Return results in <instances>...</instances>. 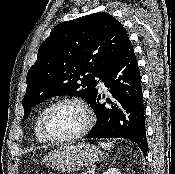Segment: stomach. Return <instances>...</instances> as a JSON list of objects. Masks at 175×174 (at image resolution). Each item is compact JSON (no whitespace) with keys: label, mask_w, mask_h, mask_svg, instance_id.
Wrapping results in <instances>:
<instances>
[{"label":"stomach","mask_w":175,"mask_h":174,"mask_svg":"<svg viewBox=\"0 0 175 174\" xmlns=\"http://www.w3.org/2000/svg\"><path fill=\"white\" fill-rule=\"evenodd\" d=\"M102 157V152L88 143L65 145L50 151L42 159L55 170L69 172L92 165Z\"/></svg>","instance_id":"1"}]
</instances>
